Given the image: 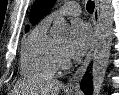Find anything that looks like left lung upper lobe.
Returning <instances> with one entry per match:
<instances>
[{"label": "left lung upper lobe", "instance_id": "1", "mask_svg": "<svg viewBox=\"0 0 119 95\" xmlns=\"http://www.w3.org/2000/svg\"><path fill=\"white\" fill-rule=\"evenodd\" d=\"M55 0H36L30 16V22L35 25L39 20L45 16L53 7ZM29 27L26 26V31Z\"/></svg>", "mask_w": 119, "mask_h": 95}]
</instances>
